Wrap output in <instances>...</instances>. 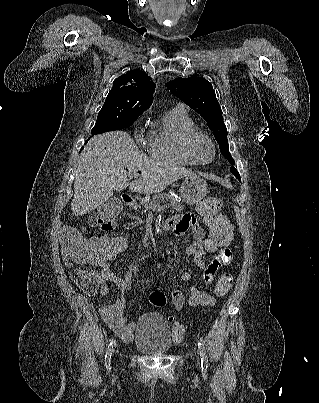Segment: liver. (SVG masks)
<instances>
[{
    "mask_svg": "<svg viewBox=\"0 0 319 403\" xmlns=\"http://www.w3.org/2000/svg\"><path fill=\"white\" fill-rule=\"evenodd\" d=\"M141 172L129 184L128 175ZM196 176L176 164L152 160L123 131H112L90 139L78 161L71 210L82 216L103 205L115 190L127 186L133 192L157 193L178 179Z\"/></svg>",
    "mask_w": 319,
    "mask_h": 403,
    "instance_id": "obj_1",
    "label": "liver"
}]
</instances>
